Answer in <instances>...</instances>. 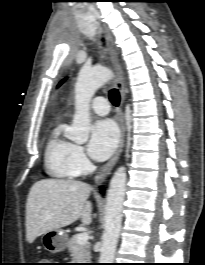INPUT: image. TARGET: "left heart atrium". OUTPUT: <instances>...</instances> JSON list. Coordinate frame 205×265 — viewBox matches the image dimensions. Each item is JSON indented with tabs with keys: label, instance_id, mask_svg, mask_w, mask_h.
<instances>
[{
	"label": "left heart atrium",
	"instance_id": "left-heart-atrium-1",
	"mask_svg": "<svg viewBox=\"0 0 205 265\" xmlns=\"http://www.w3.org/2000/svg\"><path fill=\"white\" fill-rule=\"evenodd\" d=\"M119 131L110 119L97 121L91 130L88 151L92 158L98 161L107 159L117 147Z\"/></svg>",
	"mask_w": 205,
	"mask_h": 265
}]
</instances>
